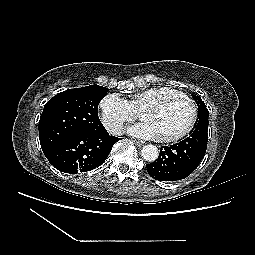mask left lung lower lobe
<instances>
[{
  "label": "left lung lower lobe",
  "instance_id": "1",
  "mask_svg": "<svg viewBox=\"0 0 255 255\" xmlns=\"http://www.w3.org/2000/svg\"><path fill=\"white\" fill-rule=\"evenodd\" d=\"M207 131V126L196 128L181 142L162 147L158 159L146 165L148 174L159 181H177L188 177L204 158Z\"/></svg>",
  "mask_w": 255,
  "mask_h": 255
}]
</instances>
